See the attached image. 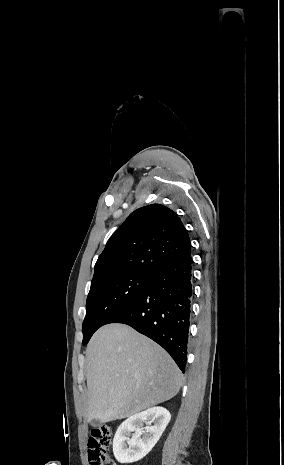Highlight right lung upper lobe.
I'll return each instance as SVG.
<instances>
[{"instance_id":"1","label":"right lung upper lobe","mask_w":284,"mask_h":465,"mask_svg":"<svg viewBox=\"0 0 284 465\" xmlns=\"http://www.w3.org/2000/svg\"><path fill=\"white\" fill-rule=\"evenodd\" d=\"M191 250L177 214L161 204L132 212L108 240L95 264L91 285L125 274L156 275Z\"/></svg>"}]
</instances>
